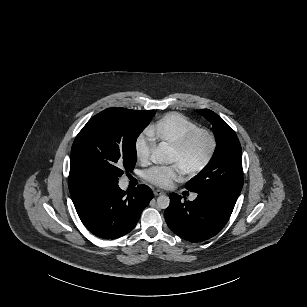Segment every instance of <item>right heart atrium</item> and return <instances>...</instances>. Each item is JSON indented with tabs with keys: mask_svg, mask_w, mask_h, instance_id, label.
Listing matches in <instances>:
<instances>
[{
	"mask_svg": "<svg viewBox=\"0 0 307 307\" xmlns=\"http://www.w3.org/2000/svg\"><path fill=\"white\" fill-rule=\"evenodd\" d=\"M155 150L154 142L146 135L140 136L134 143L135 158L141 164H147Z\"/></svg>",
	"mask_w": 307,
	"mask_h": 307,
	"instance_id": "d8ad5b80",
	"label": "right heart atrium"
}]
</instances>
